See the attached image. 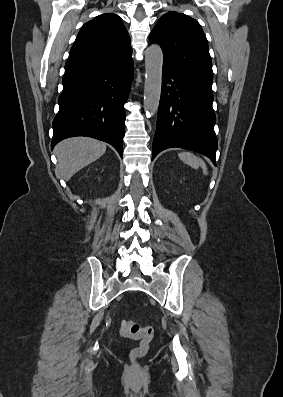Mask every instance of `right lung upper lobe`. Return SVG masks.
<instances>
[{
	"label": "right lung upper lobe",
	"instance_id": "cb5924a9",
	"mask_svg": "<svg viewBox=\"0 0 283 397\" xmlns=\"http://www.w3.org/2000/svg\"><path fill=\"white\" fill-rule=\"evenodd\" d=\"M132 48L119 16L106 13L85 23L70 50L63 79L126 64Z\"/></svg>",
	"mask_w": 283,
	"mask_h": 397
}]
</instances>
